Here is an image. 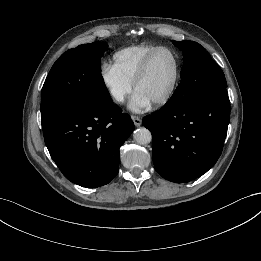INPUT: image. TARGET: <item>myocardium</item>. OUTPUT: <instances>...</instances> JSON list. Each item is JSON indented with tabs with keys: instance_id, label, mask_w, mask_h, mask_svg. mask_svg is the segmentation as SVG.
I'll list each match as a JSON object with an SVG mask.
<instances>
[{
	"instance_id": "myocardium-1",
	"label": "myocardium",
	"mask_w": 261,
	"mask_h": 261,
	"mask_svg": "<svg viewBox=\"0 0 261 261\" xmlns=\"http://www.w3.org/2000/svg\"><path fill=\"white\" fill-rule=\"evenodd\" d=\"M161 51H167L173 56L175 68H174V76L169 89L166 91V93L163 96H161L160 98L152 102V105L154 107H161L165 105L167 102H169L177 89L179 77H180V60L177 53L170 47L159 46L145 58L133 81V87L134 90L136 91L139 84L146 77L153 58Z\"/></svg>"
}]
</instances>
